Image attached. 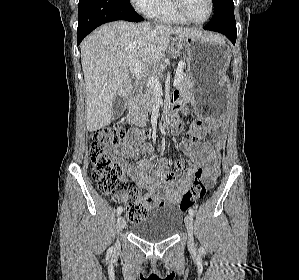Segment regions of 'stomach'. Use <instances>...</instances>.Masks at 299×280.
Masks as SVG:
<instances>
[{
    "instance_id": "stomach-1",
    "label": "stomach",
    "mask_w": 299,
    "mask_h": 280,
    "mask_svg": "<svg viewBox=\"0 0 299 280\" xmlns=\"http://www.w3.org/2000/svg\"><path fill=\"white\" fill-rule=\"evenodd\" d=\"M188 53L187 73L194 113L200 117L222 116L226 112L227 85L231 49L217 35L180 38Z\"/></svg>"
}]
</instances>
